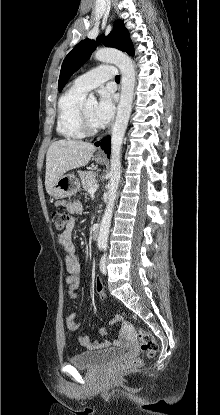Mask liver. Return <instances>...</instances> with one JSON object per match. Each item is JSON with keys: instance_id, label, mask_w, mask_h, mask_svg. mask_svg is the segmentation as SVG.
Segmentation results:
<instances>
[{"instance_id": "6515ba94", "label": "liver", "mask_w": 220, "mask_h": 415, "mask_svg": "<svg viewBox=\"0 0 220 415\" xmlns=\"http://www.w3.org/2000/svg\"><path fill=\"white\" fill-rule=\"evenodd\" d=\"M96 151L90 143L78 140L53 142L46 154L45 187L48 194L54 184L69 170L87 165Z\"/></svg>"}]
</instances>
